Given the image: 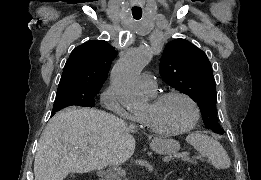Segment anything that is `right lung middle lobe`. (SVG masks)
<instances>
[{"instance_id":"1","label":"right lung middle lobe","mask_w":261,"mask_h":180,"mask_svg":"<svg viewBox=\"0 0 261 180\" xmlns=\"http://www.w3.org/2000/svg\"><path fill=\"white\" fill-rule=\"evenodd\" d=\"M100 88L82 85L58 87L52 115L62 108L72 105L93 107L95 104L94 97Z\"/></svg>"}]
</instances>
